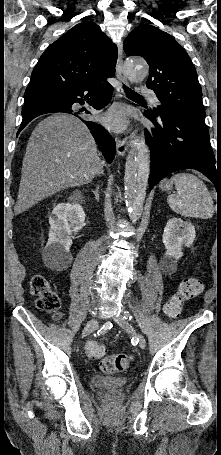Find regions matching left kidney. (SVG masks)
<instances>
[{
    "label": "left kidney",
    "instance_id": "5707ae66",
    "mask_svg": "<svg viewBox=\"0 0 221 455\" xmlns=\"http://www.w3.org/2000/svg\"><path fill=\"white\" fill-rule=\"evenodd\" d=\"M196 237L195 227L181 218H171L167 221L163 233V243L166 248L164 261L173 265L183 256L182 248L190 247Z\"/></svg>",
    "mask_w": 221,
    "mask_h": 455
}]
</instances>
